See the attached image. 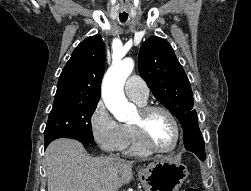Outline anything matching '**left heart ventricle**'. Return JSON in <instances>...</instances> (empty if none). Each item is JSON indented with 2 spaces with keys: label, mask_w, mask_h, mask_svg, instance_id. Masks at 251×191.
Here are the masks:
<instances>
[{
  "label": "left heart ventricle",
  "mask_w": 251,
  "mask_h": 191,
  "mask_svg": "<svg viewBox=\"0 0 251 191\" xmlns=\"http://www.w3.org/2000/svg\"><path fill=\"white\" fill-rule=\"evenodd\" d=\"M143 119L140 111L136 114L133 123ZM147 136L152 145L162 151L172 150L177 143V133L172 120L163 112H155L146 123Z\"/></svg>",
  "instance_id": "left-heart-ventricle-1"
}]
</instances>
